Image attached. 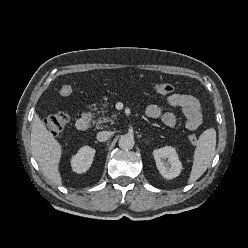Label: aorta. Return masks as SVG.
I'll return each instance as SVG.
<instances>
[{
    "label": "aorta",
    "instance_id": "762f6f07",
    "mask_svg": "<svg viewBox=\"0 0 248 248\" xmlns=\"http://www.w3.org/2000/svg\"><path fill=\"white\" fill-rule=\"evenodd\" d=\"M118 144L121 149L130 150L134 147L135 140L132 135L125 134L120 137Z\"/></svg>",
    "mask_w": 248,
    "mask_h": 248
}]
</instances>
